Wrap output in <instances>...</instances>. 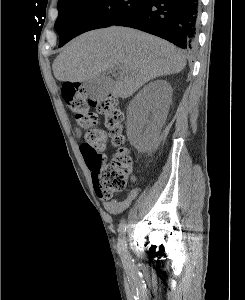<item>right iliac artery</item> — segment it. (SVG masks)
I'll use <instances>...</instances> for the list:
<instances>
[{
  "mask_svg": "<svg viewBox=\"0 0 245 300\" xmlns=\"http://www.w3.org/2000/svg\"><path fill=\"white\" fill-rule=\"evenodd\" d=\"M127 225L125 223V220H121L119 227H118V251L121 254L123 258L127 257V244L125 239V233H126Z\"/></svg>",
  "mask_w": 245,
  "mask_h": 300,
  "instance_id": "1",
  "label": "right iliac artery"
}]
</instances>
